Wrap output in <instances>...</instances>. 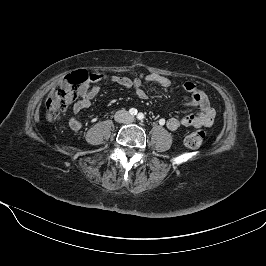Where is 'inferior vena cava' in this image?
Instances as JSON below:
<instances>
[{"instance_id":"inferior-vena-cava-1","label":"inferior vena cava","mask_w":266,"mask_h":266,"mask_svg":"<svg viewBox=\"0 0 266 266\" xmlns=\"http://www.w3.org/2000/svg\"><path fill=\"white\" fill-rule=\"evenodd\" d=\"M115 120L122 123H129L133 118L126 110H119L115 114Z\"/></svg>"}]
</instances>
